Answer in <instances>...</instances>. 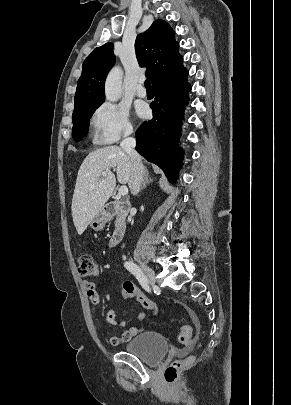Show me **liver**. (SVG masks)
<instances>
[{
    "label": "liver",
    "mask_w": 291,
    "mask_h": 405,
    "mask_svg": "<svg viewBox=\"0 0 291 405\" xmlns=\"http://www.w3.org/2000/svg\"><path fill=\"white\" fill-rule=\"evenodd\" d=\"M111 168H116L119 183L129 184L130 157L119 146H106L89 153L80 166L71 206L73 223L79 235L83 234L114 191L116 177ZM104 172L107 174L103 175Z\"/></svg>",
    "instance_id": "liver-1"
}]
</instances>
